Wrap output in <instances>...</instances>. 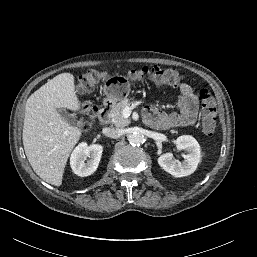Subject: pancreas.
Returning a JSON list of instances; mask_svg holds the SVG:
<instances>
[{"label":"pancreas","mask_w":257,"mask_h":257,"mask_svg":"<svg viewBox=\"0 0 257 257\" xmlns=\"http://www.w3.org/2000/svg\"><path fill=\"white\" fill-rule=\"evenodd\" d=\"M135 102H130L129 99H123L119 103H117L113 109L111 110V118L112 122L116 127H125L130 124V120L128 118H124L122 112L124 108L130 107Z\"/></svg>","instance_id":"pancreas-1"}]
</instances>
